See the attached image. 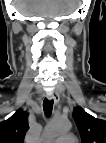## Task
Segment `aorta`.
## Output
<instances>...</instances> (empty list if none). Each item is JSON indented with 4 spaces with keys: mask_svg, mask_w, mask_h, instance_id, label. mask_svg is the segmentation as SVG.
I'll list each match as a JSON object with an SVG mask.
<instances>
[{
    "mask_svg": "<svg viewBox=\"0 0 106 143\" xmlns=\"http://www.w3.org/2000/svg\"><path fill=\"white\" fill-rule=\"evenodd\" d=\"M71 129V123L64 119H55L46 127V135L49 137H57L63 133H67Z\"/></svg>",
    "mask_w": 106,
    "mask_h": 143,
    "instance_id": "aorta-1",
    "label": "aorta"
}]
</instances>
